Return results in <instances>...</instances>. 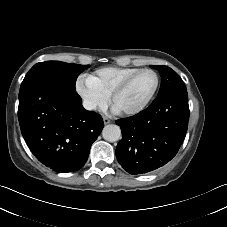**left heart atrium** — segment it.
Here are the masks:
<instances>
[{
  "label": "left heart atrium",
  "instance_id": "left-heart-atrium-1",
  "mask_svg": "<svg viewBox=\"0 0 227 227\" xmlns=\"http://www.w3.org/2000/svg\"><path fill=\"white\" fill-rule=\"evenodd\" d=\"M113 109H114V111H116V112L120 111V109H119L116 105H114Z\"/></svg>",
  "mask_w": 227,
  "mask_h": 227
}]
</instances>
